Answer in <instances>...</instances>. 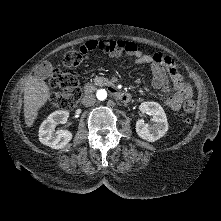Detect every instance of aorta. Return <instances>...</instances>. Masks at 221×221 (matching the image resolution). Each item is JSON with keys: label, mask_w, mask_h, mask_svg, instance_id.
Listing matches in <instances>:
<instances>
[{"label": "aorta", "mask_w": 221, "mask_h": 221, "mask_svg": "<svg viewBox=\"0 0 221 221\" xmlns=\"http://www.w3.org/2000/svg\"><path fill=\"white\" fill-rule=\"evenodd\" d=\"M96 95H97V98L102 101L107 98V92L104 89L98 90Z\"/></svg>", "instance_id": "obj_1"}]
</instances>
